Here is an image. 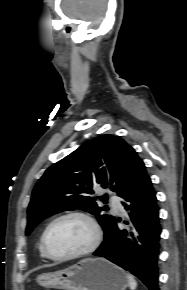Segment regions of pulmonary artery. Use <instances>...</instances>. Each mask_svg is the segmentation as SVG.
<instances>
[{
	"mask_svg": "<svg viewBox=\"0 0 187 290\" xmlns=\"http://www.w3.org/2000/svg\"><path fill=\"white\" fill-rule=\"evenodd\" d=\"M112 205L117 212H123V207L118 200L112 198Z\"/></svg>",
	"mask_w": 187,
	"mask_h": 290,
	"instance_id": "1",
	"label": "pulmonary artery"
}]
</instances>
